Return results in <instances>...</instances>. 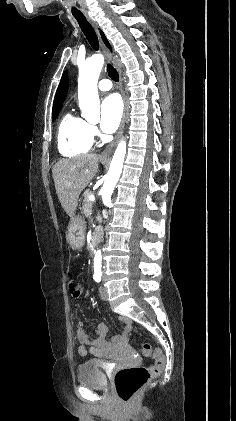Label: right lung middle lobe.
<instances>
[{
    "label": "right lung middle lobe",
    "instance_id": "1",
    "mask_svg": "<svg viewBox=\"0 0 236 421\" xmlns=\"http://www.w3.org/2000/svg\"><path fill=\"white\" fill-rule=\"evenodd\" d=\"M61 109L55 110L52 113V121H54L56 119V117L58 116V113L60 112Z\"/></svg>",
    "mask_w": 236,
    "mask_h": 421
}]
</instances>
